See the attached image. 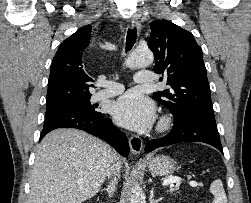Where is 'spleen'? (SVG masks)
Masks as SVG:
<instances>
[{"instance_id": "3e777b00", "label": "spleen", "mask_w": 251, "mask_h": 203, "mask_svg": "<svg viewBox=\"0 0 251 203\" xmlns=\"http://www.w3.org/2000/svg\"><path fill=\"white\" fill-rule=\"evenodd\" d=\"M210 192L214 195L213 203H227V197L221 180L217 179L211 183Z\"/></svg>"}]
</instances>
